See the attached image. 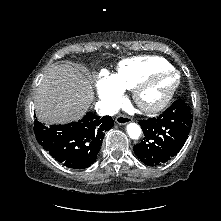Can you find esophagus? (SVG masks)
Listing matches in <instances>:
<instances>
[{"mask_svg": "<svg viewBox=\"0 0 221 221\" xmlns=\"http://www.w3.org/2000/svg\"><path fill=\"white\" fill-rule=\"evenodd\" d=\"M116 122L119 125H126L127 123L130 122V118L128 116H125V115H119L116 118Z\"/></svg>", "mask_w": 221, "mask_h": 221, "instance_id": "esophagus-1", "label": "esophagus"}]
</instances>
